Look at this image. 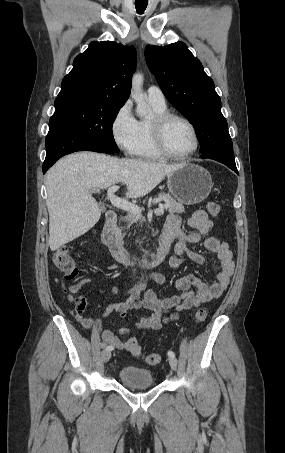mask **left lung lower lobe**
<instances>
[{
    "label": "left lung lower lobe",
    "instance_id": "obj_1",
    "mask_svg": "<svg viewBox=\"0 0 285 453\" xmlns=\"http://www.w3.org/2000/svg\"><path fill=\"white\" fill-rule=\"evenodd\" d=\"M200 158H203V159L208 158V159H213L218 162H221L238 174L236 164H235L234 154L229 151L213 150L206 154H202L200 156Z\"/></svg>",
    "mask_w": 285,
    "mask_h": 453
}]
</instances>
